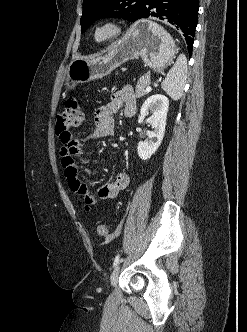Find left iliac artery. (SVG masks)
<instances>
[{
  "instance_id": "1",
  "label": "left iliac artery",
  "mask_w": 247,
  "mask_h": 332,
  "mask_svg": "<svg viewBox=\"0 0 247 332\" xmlns=\"http://www.w3.org/2000/svg\"><path fill=\"white\" fill-rule=\"evenodd\" d=\"M119 260H120V254H118L115 259H114V263H113V266H116L118 263H119Z\"/></svg>"
}]
</instances>
